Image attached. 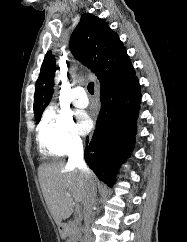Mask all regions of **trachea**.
I'll return each mask as SVG.
<instances>
[{
    "instance_id": "1",
    "label": "trachea",
    "mask_w": 187,
    "mask_h": 242,
    "mask_svg": "<svg viewBox=\"0 0 187 242\" xmlns=\"http://www.w3.org/2000/svg\"><path fill=\"white\" fill-rule=\"evenodd\" d=\"M88 92L91 94V95H93L94 94V82H90L89 84H88Z\"/></svg>"
}]
</instances>
